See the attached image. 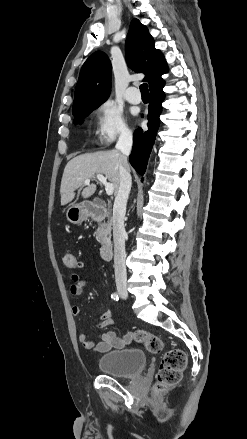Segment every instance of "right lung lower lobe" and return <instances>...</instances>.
<instances>
[{"label": "right lung lower lobe", "mask_w": 247, "mask_h": 439, "mask_svg": "<svg viewBox=\"0 0 247 439\" xmlns=\"http://www.w3.org/2000/svg\"><path fill=\"white\" fill-rule=\"evenodd\" d=\"M163 86H158L151 90V99L148 107V130L143 132L141 128H138L134 132L133 149L129 159L131 165L140 175H143L146 170L159 126V115L162 111L161 103L165 97L162 90Z\"/></svg>", "instance_id": "obj_1"}]
</instances>
